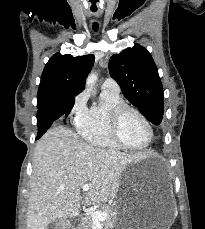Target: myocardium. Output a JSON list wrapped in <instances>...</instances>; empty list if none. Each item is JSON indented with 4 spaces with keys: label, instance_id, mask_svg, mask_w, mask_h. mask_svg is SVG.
<instances>
[{
    "label": "myocardium",
    "instance_id": "myocardium-1",
    "mask_svg": "<svg viewBox=\"0 0 205 229\" xmlns=\"http://www.w3.org/2000/svg\"><path fill=\"white\" fill-rule=\"evenodd\" d=\"M128 112H132L136 114L146 125L147 130H148V140L147 142L140 147H132L127 145L121 138L120 135V126H121V121L124 117V115ZM109 129H110V134L112 139L123 149L130 150V151H143L146 150L150 144L152 143L154 132L152 125L148 118L137 108L130 106L128 104H120L115 106L114 108L111 109L110 114H109Z\"/></svg>",
    "mask_w": 205,
    "mask_h": 229
}]
</instances>
